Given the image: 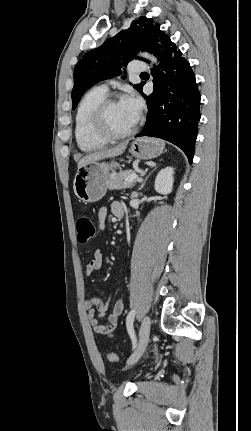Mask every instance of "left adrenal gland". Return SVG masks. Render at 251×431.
<instances>
[{"label":"left adrenal gland","instance_id":"left-adrenal-gland-1","mask_svg":"<svg viewBox=\"0 0 251 431\" xmlns=\"http://www.w3.org/2000/svg\"><path fill=\"white\" fill-rule=\"evenodd\" d=\"M156 168H157V167H155L152 171H150V172L148 173V175L145 177L144 181H143V182L141 183V185L139 186L138 191H140V190H142V189H143V187L145 186V184H146L147 180L149 179V177H150L151 173H152ZM135 194H136V196L138 195V193H135Z\"/></svg>","mask_w":251,"mask_h":431}]
</instances>
